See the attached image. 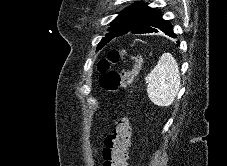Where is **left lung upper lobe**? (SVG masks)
<instances>
[{"label": "left lung upper lobe", "instance_id": "1", "mask_svg": "<svg viewBox=\"0 0 227 166\" xmlns=\"http://www.w3.org/2000/svg\"><path fill=\"white\" fill-rule=\"evenodd\" d=\"M143 5V2H138L123 10L120 15L111 22L109 32L104 38H102V40L98 44L97 49L102 48L119 33H122L125 30L129 29L132 26L134 19L142 9Z\"/></svg>", "mask_w": 227, "mask_h": 166}]
</instances>
